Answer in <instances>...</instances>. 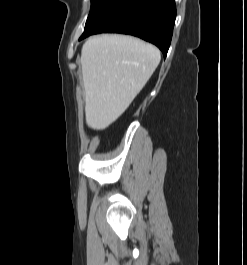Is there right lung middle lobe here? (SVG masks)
I'll list each match as a JSON object with an SVG mask.
<instances>
[{
	"label": "right lung middle lobe",
	"mask_w": 247,
	"mask_h": 265,
	"mask_svg": "<svg viewBox=\"0 0 247 265\" xmlns=\"http://www.w3.org/2000/svg\"><path fill=\"white\" fill-rule=\"evenodd\" d=\"M101 0H91V10L90 12L96 7V5L100 2Z\"/></svg>",
	"instance_id": "obj_1"
}]
</instances>
